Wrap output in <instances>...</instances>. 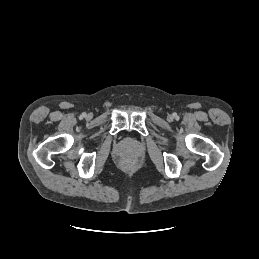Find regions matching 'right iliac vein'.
Masks as SVG:
<instances>
[{
  "label": "right iliac vein",
  "instance_id": "1",
  "mask_svg": "<svg viewBox=\"0 0 259 259\" xmlns=\"http://www.w3.org/2000/svg\"><path fill=\"white\" fill-rule=\"evenodd\" d=\"M86 118H87V119H90V118H91V115H87Z\"/></svg>",
  "mask_w": 259,
  "mask_h": 259
}]
</instances>
